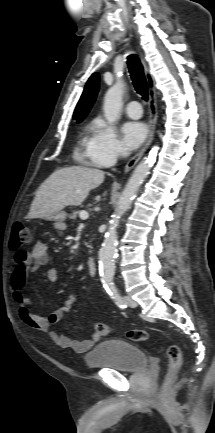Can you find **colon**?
Segmentation results:
<instances>
[{"instance_id":"obj_1","label":"colon","mask_w":215,"mask_h":433,"mask_svg":"<svg viewBox=\"0 0 215 433\" xmlns=\"http://www.w3.org/2000/svg\"><path fill=\"white\" fill-rule=\"evenodd\" d=\"M31 241L29 228L22 222H15L12 228V236L10 245L13 249L21 248ZM95 331L100 336H106L113 330L108 325L102 322L95 324ZM127 337L133 341H145L148 339V334L142 329H131L127 331ZM166 356L168 359V370L165 378V383H169L179 372L181 367V353L177 345H170L167 348Z\"/></svg>"}]
</instances>
